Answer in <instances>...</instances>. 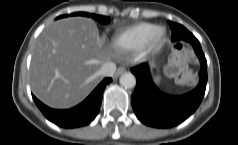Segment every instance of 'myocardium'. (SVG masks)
<instances>
[{
  "label": "myocardium",
  "mask_w": 238,
  "mask_h": 145,
  "mask_svg": "<svg viewBox=\"0 0 238 145\" xmlns=\"http://www.w3.org/2000/svg\"><path fill=\"white\" fill-rule=\"evenodd\" d=\"M166 29L162 26H156L145 45L139 50L141 55H146L157 50L165 41Z\"/></svg>",
  "instance_id": "f54148a6"
}]
</instances>
